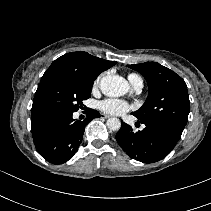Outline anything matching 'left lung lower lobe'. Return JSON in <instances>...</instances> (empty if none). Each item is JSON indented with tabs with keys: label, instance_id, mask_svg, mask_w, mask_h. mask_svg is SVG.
I'll return each mask as SVG.
<instances>
[{
	"label": "left lung lower lobe",
	"instance_id": "obj_1",
	"mask_svg": "<svg viewBox=\"0 0 211 211\" xmlns=\"http://www.w3.org/2000/svg\"><path fill=\"white\" fill-rule=\"evenodd\" d=\"M138 122L145 124L146 127L136 133L131 126L122 122L116 140L130 157L143 163H154L165 158L182 134L163 123L140 120Z\"/></svg>",
	"mask_w": 211,
	"mask_h": 211
}]
</instances>
